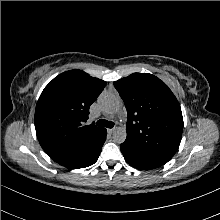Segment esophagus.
Here are the masks:
<instances>
[{
    "mask_svg": "<svg viewBox=\"0 0 220 220\" xmlns=\"http://www.w3.org/2000/svg\"><path fill=\"white\" fill-rule=\"evenodd\" d=\"M115 131V128L108 129V133L112 134Z\"/></svg>",
    "mask_w": 220,
    "mask_h": 220,
    "instance_id": "34e87169",
    "label": "esophagus"
}]
</instances>
